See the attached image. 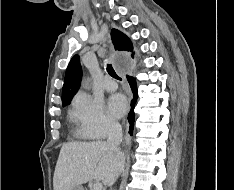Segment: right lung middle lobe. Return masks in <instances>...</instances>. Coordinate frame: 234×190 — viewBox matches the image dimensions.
<instances>
[{
	"label": "right lung middle lobe",
	"mask_w": 234,
	"mask_h": 190,
	"mask_svg": "<svg viewBox=\"0 0 234 190\" xmlns=\"http://www.w3.org/2000/svg\"><path fill=\"white\" fill-rule=\"evenodd\" d=\"M68 103H64V104H62L63 106H66Z\"/></svg>",
	"instance_id": "dd1d6c3e"
}]
</instances>
